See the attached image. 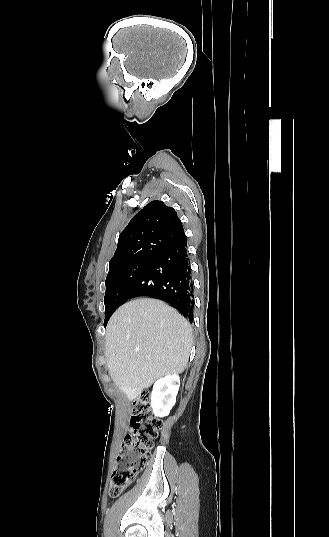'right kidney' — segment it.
<instances>
[{"label":"right kidney","instance_id":"obj_1","mask_svg":"<svg viewBox=\"0 0 329 537\" xmlns=\"http://www.w3.org/2000/svg\"><path fill=\"white\" fill-rule=\"evenodd\" d=\"M180 387V377L177 374L167 375L158 379L153 386L151 394V408L157 417L168 416L176 403V396Z\"/></svg>","mask_w":329,"mask_h":537}]
</instances>
